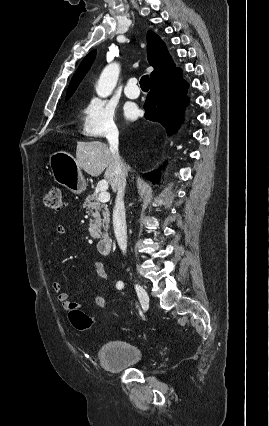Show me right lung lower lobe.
Wrapping results in <instances>:
<instances>
[{
    "label": "right lung lower lobe",
    "instance_id": "1",
    "mask_svg": "<svg viewBox=\"0 0 269 426\" xmlns=\"http://www.w3.org/2000/svg\"><path fill=\"white\" fill-rule=\"evenodd\" d=\"M150 92L144 104L148 120L160 122L170 134L183 121L182 110L186 105L187 83L181 77V70L175 68L150 83ZM155 182L153 174H145Z\"/></svg>",
    "mask_w": 269,
    "mask_h": 426
}]
</instances>
